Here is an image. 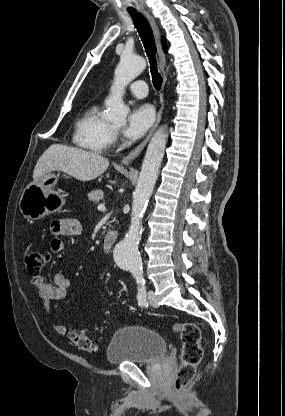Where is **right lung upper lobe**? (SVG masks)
Here are the masks:
<instances>
[{"instance_id": "cb5924a9", "label": "right lung upper lobe", "mask_w": 285, "mask_h": 416, "mask_svg": "<svg viewBox=\"0 0 285 416\" xmlns=\"http://www.w3.org/2000/svg\"><path fill=\"white\" fill-rule=\"evenodd\" d=\"M162 46H163L164 52H166L167 51V46H166V41H165L164 37H162Z\"/></svg>"}]
</instances>
